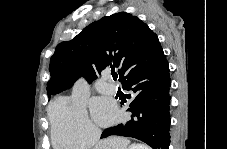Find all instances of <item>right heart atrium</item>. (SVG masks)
<instances>
[{
    "label": "right heart atrium",
    "mask_w": 227,
    "mask_h": 149,
    "mask_svg": "<svg viewBox=\"0 0 227 149\" xmlns=\"http://www.w3.org/2000/svg\"><path fill=\"white\" fill-rule=\"evenodd\" d=\"M51 139L60 149H78L95 144L100 129L90 119L85 107L78 101L57 98L49 109Z\"/></svg>",
    "instance_id": "obj_1"
}]
</instances>
